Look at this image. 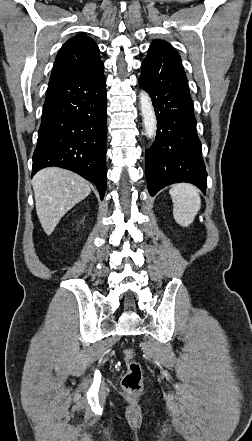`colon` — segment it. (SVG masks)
Listing matches in <instances>:
<instances>
[{
  "instance_id": "obj_1",
  "label": "colon",
  "mask_w": 252,
  "mask_h": 441,
  "mask_svg": "<svg viewBox=\"0 0 252 441\" xmlns=\"http://www.w3.org/2000/svg\"><path fill=\"white\" fill-rule=\"evenodd\" d=\"M123 357L127 370L122 379V387L129 393H138L142 388V369L134 359L135 351L132 348L125 349Z\"/></svg>"
}]
</instances>
